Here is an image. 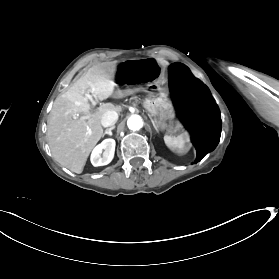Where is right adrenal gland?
I'll use <instances>...</instances> for the list:
<instances>
[{
	"instance_id": "obj_1",
	"label": "right adrenal gland",
	"mask_w": 279,
	"mask_h": 279,
	"mask_svg": "<svg viewBox=\"0 0 279 279\" xmlns=\"http://www.w3.org/2000/svg\"><path fill=\"white\" fill-rule=\"evenodd\" d=\"M114 128H115V126H112V127L108 128V129H106V131H105V133H103L102 137H104L105 135L112 136L111 130H113Z\"/></svg>"
}]
</instances>
